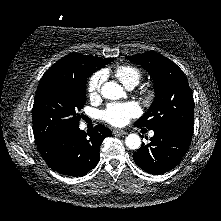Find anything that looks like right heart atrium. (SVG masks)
<instances>
[{"mask_svg":"<svg viewBox=\"0 0 221 221\" xmlns=\"http://www.w3.org/2000/svg\"><path fill=\"white\" fill-rule=\"evenodd\" d=\"M104 81L105 73L103 71H97L89 78L87 91L91 98H96L100 95Z\"/></svg>","mask_w":221,"mask_h":221,"instance_id":"obj_1","label":"right heart atrium"}]
</instances>
